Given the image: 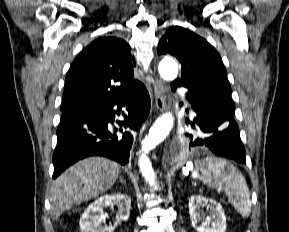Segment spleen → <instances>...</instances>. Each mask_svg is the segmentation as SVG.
Listing matches in <instances>:
<instances>
[{
	"label": "spleen",
	"mask_w": 289,
	"mask_h": 232,
	"mask_svg": "<svg viewBox=\"0 0 289 232\" xmlns=\"http://www.w3.org/2000/svg\"><path fill=\"white\" fill-rule=\"evenodd\" d=\"M197 177L211 187L222 189L228 197L229 203L242 216L251 213V199L247 182L242 173L224 159L208 157L199 163Z\"/></svg>",
	"instance_id": "1"
}]
</instances>
